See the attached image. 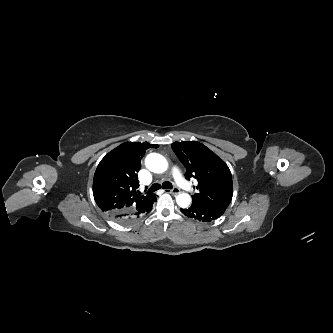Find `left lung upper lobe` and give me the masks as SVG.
Here are the masks:
<instances>
[{"label":"left lung upper lobe","instance_id":"1","mask_svg":"<svg viewBox=\"0 0 333 333\" xmlns=\"http://www.w3.org/2000/svg\"><path fill=\"white\" fill-rule=\"evenodd\" d=\"M172 149L186 167L185 177L198 181V193L192 197L193 202L227 208L233 195V183L226 163L197 141L174 142Z\"/></svg>","mask_w":333,"mask_h":333}]
</instances>
